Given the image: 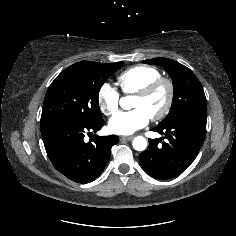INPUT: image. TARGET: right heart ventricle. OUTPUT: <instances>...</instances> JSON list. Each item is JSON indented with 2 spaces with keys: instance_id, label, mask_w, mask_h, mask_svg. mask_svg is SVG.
Returning a JSON list of instances; mask_svg holds the SVG:
<instances>
[{
  "instance_id": "obj_1",
  "label": "right heart ventricle",
  "mask_w": 236,
  "mask_h": 236,
  "mask_svg": "<svg viewBox=\"0 0 236 236\" xmlns=\"http://www.w3.org/2000/svg\"><path fill=\"white\" fill-rule=\"evenodd\" d=\"M161 77L159 70L150 66H134L122 72L117 80L125 94H135L150 82Z\"/></svg>"
}]
</instances>
